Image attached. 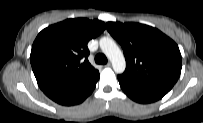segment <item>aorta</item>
I'll return each mask as SVG.
<instances>
[{
    "label": "aorta",
    "mask_w": 203,
    "mask_h": 123,
    "mask_svg": "<svg viewBox=\"0 0 203 123\" xmlns=\"http://www.w3.org/2000/svg\"><path fill=\"white\" fill-rule=\"evenodd\" d=\"M99 44L102 52L111 61L115 73H123L126 67L125 59L122 51L114 40L109 37H102Z\"/></svg>",
    "instance_id": "762f6f07"
}]
</instances>
